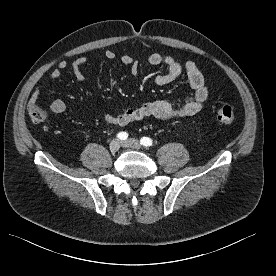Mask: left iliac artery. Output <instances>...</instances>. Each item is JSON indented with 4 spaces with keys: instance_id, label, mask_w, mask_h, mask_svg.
Masks as SVG:
<instances>
[{
    "instance_id": "obj_1",
    "label": "left iliac artery",
    "mask_w": 276,
    "mask_h": 276,
    "mask_svg": "<svg viewBox=\"0 0 276 276\" xmlns=\"http://www.w3.org/2000/svg\"><path fill=\"white\" fill-rule=\"evenodd\" d=\"M140 143L144 147H150L153 144L152 140L148 137H142L141 140H140Z\"/></svg>"
}]
</instances>
